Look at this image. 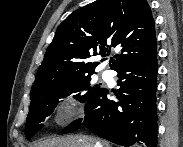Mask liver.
Returning a JSON list of instances; mask_svg holds the SVG:
<instances>
[{"label": "liver", "mask_w": 183, "mask_h": 147, "mask_svg": "<svg viewBox=\"0 0 183 147\" xmlns=\"http://www.w3.org/2000/svg\"><path fill=\"white\" fill-rule=\"evenodd\" d=\"M110 147L107 142L100 143L93 137L89 136H67L62 138H52L40 141L33 145V147Z\"/></svg>", "instance_id": "6515ba94"}]
</instances>
